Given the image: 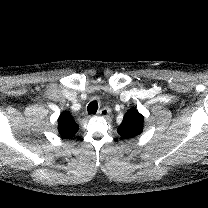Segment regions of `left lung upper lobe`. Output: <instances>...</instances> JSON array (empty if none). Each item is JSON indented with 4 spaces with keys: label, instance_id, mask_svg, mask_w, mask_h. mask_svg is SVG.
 Here are the masks:
<instances>
[{
    "label": "left lung upper lobe",
    "instance_id": "obj_1",
    "mask_svg": "<svg viewBox=\"0 0 208 208\" xmlns=\"http://www.w3.org/2000/svg\"><path fill=\"white\" fill-rule=\"evenodd\" d=\"M144 117L138 112V110L133 107L127 111L122 123L117 129L118 134L125 138H133L143 131Z\"/></svg>",
    "mask_w": 208,
    "mask_h": 208
}]
</instances>
